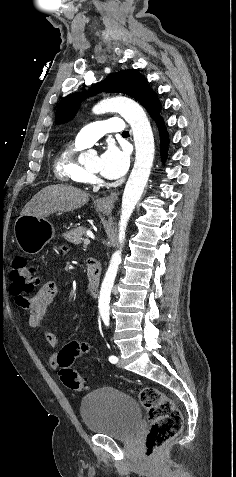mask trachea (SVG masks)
<instances>
[{
	"instance_id": "obj_1",
	"label": "trachea",
	"mask_w": 236,
	"mask_h": 477,
	"mask_svg": "<svg viewBox=\"0 0 236 477\" xmlns=\"http://www.w3.org/2000/svg\"><path fill=\"white\" fill-rule=\"evenodd\" d=\"M122 134H129V132H128V131H124Z\"/></svg>"
}]
</instances>
